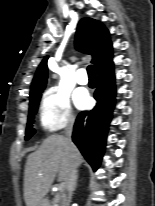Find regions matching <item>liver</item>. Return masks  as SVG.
I'll list each match as a JSON object with an SVG mask.
<instances>
[{
	"label": "liver",
	"instance_id": "6515ba94",
	"mask_svg": "<svg viewBox=\"0 0 155 206\" xmlns=\"http://www.w3.org/2000/svg\"><path fill=\"white\" fill-rule=\"evenodd\" d=\"M76 167L83 161L77 147L68 145L62 135L47 137L39 149L27 159L24 177V198L27 206H38L49 192L58 174V180L66 187L71 161Z\"/></svg>",
	"mask_w": 155,
	"mask_h": 206
}]
</instances>
